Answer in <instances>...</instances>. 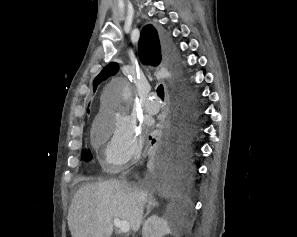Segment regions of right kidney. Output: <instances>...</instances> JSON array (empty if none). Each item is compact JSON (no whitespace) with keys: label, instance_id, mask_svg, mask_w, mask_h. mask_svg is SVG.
Here are the masks:
<instances>
[{"label":"right kidney","instance_id":"ca27d5eb","mask_svg":"<svg viewBox=\"0 0 297 237\" xmlns=\"http://www.w3.org/2000/svg\"><path fill=\"white\" fill-rule=\"evenodd\" d=\"M170 233L167 221L158 215L150 216L142 229L143 237H164Z\"/></svg>","mask_w":297,"mask_h":237}]
</instances>
